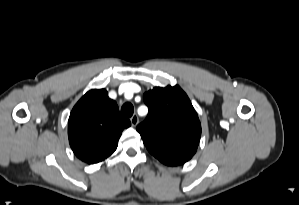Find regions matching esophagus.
<instances>
[{
	"mask_svg": "<svg viewBox=\"0 0 299 205\" xmlns=\"http://www.w3.org/2000/svg\"><path fill=\"white\" fill-rule=\"evenodd\" d=\"M130 122L132 126H136L139 123V118L136 114H134L131 118H130Z\"/></svg>",
	"mask_w": 299,
	"mask_h": 205,
	"instance_id": "34e87169",
	"label": "esophagus"
}]
</instances>
